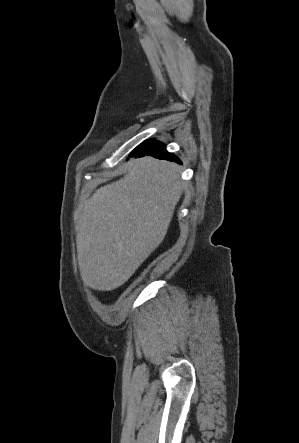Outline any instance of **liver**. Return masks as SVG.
<instances>
[{
	"instance_id": "1",
	"label": "liver",
	"mask_w": 299,
	"mask_h": 443,
	"mask_svg": "<svg viewBox=\"0 0 299 443\" xmlns=\"http://www.w3.org/2000/svg\"><path fill=\"white\" fill-rule=\"evenodd\" d=\"M179 167L144 157L95 191L80 215L77 259L95 290L123 285L164 240L182 195Z\"/></svg>"
}]
</instances>
